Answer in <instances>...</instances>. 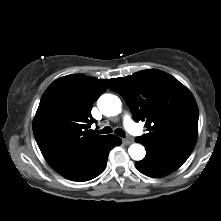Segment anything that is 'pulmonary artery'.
<instances>
[{"label":"pulmonary artery","mask_w":221,"mask_h":221,"mask_svg":"<svg viewBox=\"0 0 221 221\" xmlns=\"http://www.w3.org/2000/svg\"><path fill=\"white\" fill-rule=\"evenodd\" d=\"M123 123L125 128L133 135H140L142 133L141 128L133 122V120L128 116H124Z\"/></svg>","instance_id":"e3ab8cb5"}]
</instances>
